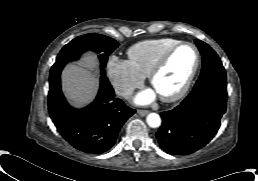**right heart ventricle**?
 Wrapping results in <instances>:
<instances>
[{
	"label": "right heart ventricle",
	"mask_w": 258,
	"mask_h": 181,
	"mask_svg": "<svg viewBox=\"0 0 258 181\" xmlns=\"http://www.w3.org/2000/svg\"><path fill=\"white\" fill-rule=\"evenodd\" d=\"M180 42L173 38L150 39L138 42L128 51V62L143 77H147L163 53Z\"/></svg>",
	"instance_id": "1"
}]
</instances>
